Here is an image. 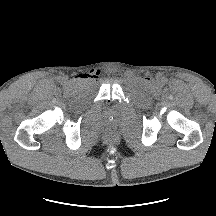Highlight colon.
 <instances>
[{"label":"colon","instance_id":"1","mask_svg":"<svg viewBox=\"0 0 216 216\" xmlns=\"http://www.w3.org/2000/svg\"><path fill=\"white\" fill-rule=\"evenodd\" d=\"M110 136L113 137V136H114V133H113V132H110Z\"/></svg>","mask_w":216,"mask_h":216}]
</instances>
